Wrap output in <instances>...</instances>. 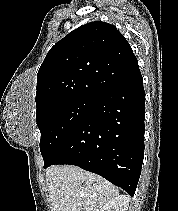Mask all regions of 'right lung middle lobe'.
<instances>
[{
    "label": "right lung middle lobe",
    "instance_id": "obj_1",
    "mask_svg": "<svg viewBox=\"0 0 178 211\" xmlns=\"http://www.w3.org/2000/svg\"><path fill=\"white\" fill-rule=\"evenodd\" d=\"M96 99L73 98L53 103L37 112L43 158L54 150L86 118Z\"/></svg>",
    "mask_w": 178,
    "mask_h": 211
}]
</instances>
